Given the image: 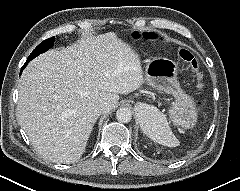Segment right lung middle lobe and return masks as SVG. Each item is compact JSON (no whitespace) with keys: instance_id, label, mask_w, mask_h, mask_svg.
<instances>
[{"instance_id":"dd1d6c3e","label":"right lung middle lobe","mask_w":240,"mask_h":191,"mask_svg":"<svg viewBox=\"0 0 240 191\" xmlns=\"http://www.w3.org/2000/svg\"><path fill=\"white\" fill-rule=\"evenodd\" d=\"M54 41H55L54 37L44 40L42 43H40L36 47V49L33 50V52L28 57L27 61L29 62L32 59H34L36 56H38L39 54L47 51L49 48H51L54 45Z\"/></svg>"}]
</instances>
